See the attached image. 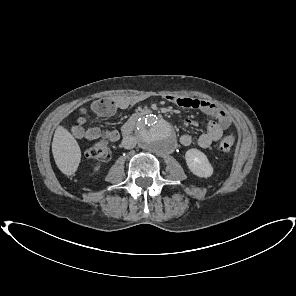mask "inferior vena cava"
<instances>
[{
	"mask_svg": "<svg viewBox=\"0 0 296 296\" xmlns=\"http://www.w3.org/2000/svg\"><path fill=\"white\" fill-rule=\"evenodd\" d=\"M122 145L125 149H132L136 146V138L133 136H125L122 140Z\"/></svg>",
	"mask_w": 296,
	"mask_h": 296,
	"instance_id": "1",
	"label": "inferior vena cava"
}]
</instances>
